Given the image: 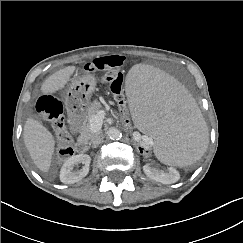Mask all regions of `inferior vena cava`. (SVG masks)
<instances>
[{
	"instance_id": "602c4592",
	"label": "inferior vena cava",
	"mask_w": 243,
	"mask_h": 243,
	"mask_svg": "<svg viewBox=\"0 0 243 243\" xmlns=\"http://www.w3.org/2000/svg\"><path fill=\"white\" fill-rule=\"evenodd\" d=\"M101 142V136L100 135H96L92 140H91V144L93 148H96Z\"/></svg>"
}]
</instances>
